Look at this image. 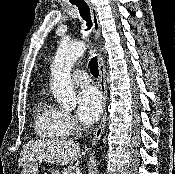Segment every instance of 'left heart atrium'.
Segmentation results:
<instances>
[{
    "label": "left heart atrium",
    "mask_w": 175,
    "mask_h": 174,
    "mask_svg": "<svg viewBox=\"0 0 175 174\" xmlns=\"http://www.w3.org/2000/svg\"><path fill=\"white\" fill-rule=\"evenodd\" d=\"M102 111V98L93 87L83 88L77 95V117L81 123H95Z\"/></svg>",
    "instance_id": "1"
}]
</instances>
